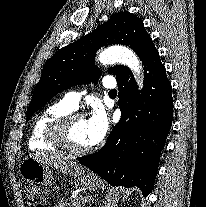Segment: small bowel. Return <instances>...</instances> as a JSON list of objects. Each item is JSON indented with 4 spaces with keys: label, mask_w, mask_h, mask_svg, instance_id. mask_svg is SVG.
Returning a JSON list of instances; mask_svg holds the SVG:
<instances>
[{
    "label": "small bowel",
    "mask_w": 206,
    "mask_h": 207,
    "mask_svg": "<svg viewBox=\"0 0 206 207\" xmlns=\"http://www.w3.org/2000/svg\"><path fill=\"white\" fill-rule=\"evenodd\" d=\"M54 207H66L65 202H58Z\"/></svg>",
    "instance_id": "small-bowel-1"
}]
</instances>
